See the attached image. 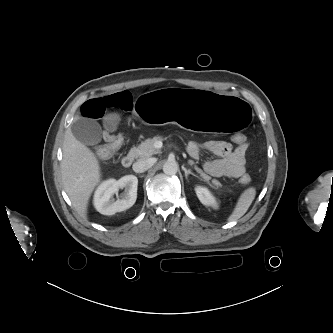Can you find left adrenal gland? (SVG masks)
Instances as JSON below:
<instances>
[{
	"label": "left adrenal gland",
	"mask_w": 333,
	"mask_h": 333,
	"mask_svg": "<svg viewBox=\"0 0 333 333\" xmlns=\"http://www.w3.org/2000/svg\"><path fill=\"white\" fill-rule=\"evenodd\" d=\"M182 169H183L184 172H185V177H186V179H188V176H189L190 174L193 175V176H195V177H197V178H200L197 174L191 172L190 169L187 170L184 166L182 167Z\"/></svg>",
	"instance_id": "1"
}]
</instances>
